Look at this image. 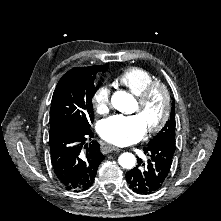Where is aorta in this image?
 <instances>
[{
    "label": "aorta",
    "mask_w": 221,
    "mask_h": 221,
    "mask_svg": "<svg viewBox=\"0 0 221 221\" xmlns=\"http://www.w3.org/2000/svg\"><path fill=\"white\" fill-rule=\"evenodd\" d=\"M134 101L133 96L124 91H117L112 96L113 107L121 112H128ZM118 163L124 169H132L136 164V158L132 153L125 152L120 155Z\"/></svg>",
    "instance_id": "aorta-1"
}]
</instances>
